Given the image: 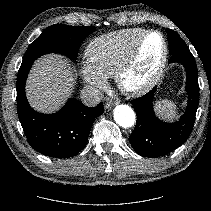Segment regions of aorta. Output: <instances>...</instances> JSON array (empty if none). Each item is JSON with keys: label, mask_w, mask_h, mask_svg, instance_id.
Here are the masks:
<instances>
[{"label": "aorta", "mask_w": 211, "mask_h": 211, "mask_svg": "<svg viewBox=\"0 0 211 211\" xmlns=\"http://www.w3.org/2000/svg\"><path fill=\"white\" fill-rule=\"evenodd\" d=\"M114 119L121 127L129 128L134 125L136 117L130 106L121 104L114 109Z\"/></svg>", "instance_id": "obj_1"}]
</instances>
